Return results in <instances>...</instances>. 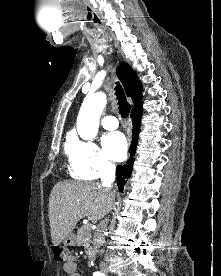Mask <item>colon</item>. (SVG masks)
Wrapping results in <instances>:
<instances>
[{
    "label": "colon",
    "instance_id": "obj_1",
    "mask_svg": "<svg viewBox=\"0 0 221 276\" xmlns=\"http://www.w3.org/2000/svg\"><path fill=\"white\" fill-rule=\"evenodd\" d=\"M66 250H67V245H54L52 252H53L55 261L65 262L66 259L68 258Z\"/></svg>",
    "mask_w": 221,
    "mask_h": 276
}]
</instances>
